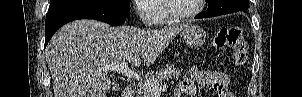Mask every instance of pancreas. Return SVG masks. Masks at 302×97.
Instances as JSON below:
<instances>
[{
	"instance_id": "pancreas-1",
	"label": "pancreas",
	"mask_w": 302,
	"mask_h": 97,
	"mask_svg": "<svg viewBox=\"0 0 302 97\" xmlns=\"http://www.w3.org/2000/svg\"><path fill=\"white\" fill-rule=\"evenodd\" d=\"M181 76V70L179 68L166 65L159 72L154 73L147 79L146 82L160 85L165 80H177ZM137 97H151V92L147 86L140 84L137 86Z\"/></svg>"
}]
</instances>
